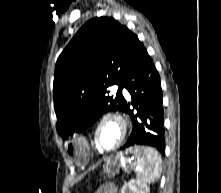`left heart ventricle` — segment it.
<instances>
[{
	"instance_id": "1",
	"label": "left heart ventricle",
	"mask_w": 221,
	"mask_h": 193,
	"mask_svg": "<svg viewBox=\"0 0 221 193\" xmlns=\"http://www.w3.org/2000/svg\"><path fill=\"white\" fill-rule=\"evenodd\" d=\"M119 138V128L112 121L105 122L98 133V141L104 148L112 147Z\"/></svg>"
}]
</instances>
